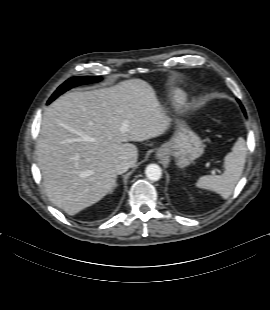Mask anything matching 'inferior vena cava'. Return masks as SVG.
Segmentation results:
<instances>
[{
    "instance_id": "obj_1",
    "label": "inferior vena cava",
    "mask_w": 270,
    "mask_h": 310,
    "mask_svg": "<svg viewBox=\"0 0 270 310\" xmlns=\"http://www.w3.org/2000/svg\"><path fill=\"white\" fill-rule=\"evenodd\" d=\"M131 167V163L128 161L127 157H121L116 161L114 165V171L116 174H123Z\"/></svg>"
}]
</instances>
